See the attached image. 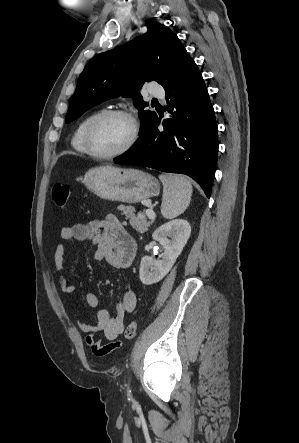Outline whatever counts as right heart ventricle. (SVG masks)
Returning a JSON list of instances; mask_svg holds the SVG:
<instances>
[{
    "label": "right heart ventricle",
    "instance_id": "1",
    "mask_svg": "<svg viewBox=\"0 0 299 443\" xmlns=\"http://www.w3.org/2000/svg\"><path fill=\"white\" fill-rule=\"evenodd\" d=\"M98 113L97 111H93L89 114H87L77 125L72 138H71V145L73 147V149L81 154H88L84 143H83V134H84V130L85 127L87 125V123L89 122V120L96 114Z\"/></svg>",
    "mask_w": 299,
    "mask_h": 443
}]
</instances>
